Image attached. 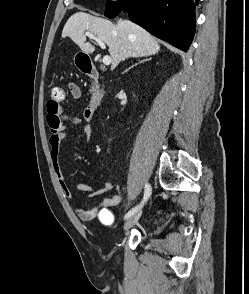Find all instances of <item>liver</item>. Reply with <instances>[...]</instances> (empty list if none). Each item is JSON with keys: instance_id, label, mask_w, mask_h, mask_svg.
Returning <instances> with one entry per match:
<instances>
[{"instance_id": "obj_1", "label": "liver", "mask_w": 249, "mask_h": 294, "mask_svg": "<svg viewBox=\"0 0 249 294\" xmlns=\"http://www.w3.org/2000/svg\"><path fill=\"white\" fill-rule=\"evenodd\" d=\"M85 31L95 34L108 45L112 70L125 59L155 55L160 50L156 39L131 21L120 19L113 24L82 11L68 19L62 37H70L84 53L90 54L95 47L86 42Z\"/></svg>"}]
</instances>
